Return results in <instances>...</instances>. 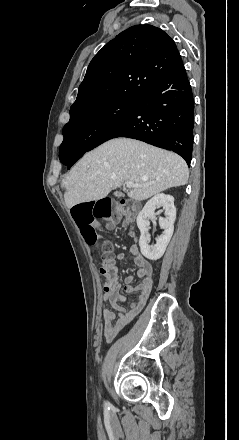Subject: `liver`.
I'll return each mask as SVG.
<instances>
[{
    "mask_svg": "<svg viewBox=\"0 0 239 440\" xmlns=\"http://www.w3.org/2000/svg\"><path fill=\"white\" fill-rule=\"evenodd\" d=\"M188 178V166L177 154L138 140L115 138L85 154L65 176L62 186L65 204L72 208L106 198L123 182L139 184L127 192L131 200H148L168 188L185 186Z\"/></svg>",
    "mask_w": 239,
    "mask_h": 440,
    "instance_id": "obj_1",
    "label": "liver"
}]
</instances>
